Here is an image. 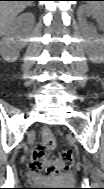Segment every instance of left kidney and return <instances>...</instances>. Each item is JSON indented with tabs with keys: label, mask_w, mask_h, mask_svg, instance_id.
Masks as SVG:
<instances>
[{
	"label": "left kidney",
	"mask_w": 104,
	"mask_h": 189,
	"mask_svg": "<svg viewBox=\"0 0 104 189\" xmlns=\"http://www.w3.org/2000/svg\"><path fill=\"white\" fill-rule=\"evenodd\" d=\"M80 14V23L81 26L86 25V16H92L94 19H96L99 23H103L104 21V13H103V8L99 9H93L89 6H82L79 11ZM98 43V48L94 49L92 51H89V59L95 63H101L104 59V52H103V39L98 38L97 40Z\"/></svg>",
	"instance_id": "5707ae66"
}]
</instances>
